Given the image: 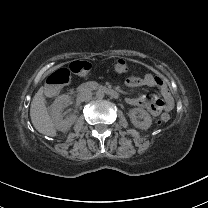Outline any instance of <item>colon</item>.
Wrapping results in <instances>:
<instances>
[{
  "label": "colon",
  "instance_id": "1",
  "mask_svg": "<svg viewBox=\"0 0 208 208\" xmlns=\"http://www.w3.org/2000/svg\"><path fill=\"white\" fill-rule=\"evenodd\" d=\"M111 71L115 74H125L128 71L127 62L123 58H118L114 60L111 64ZM170 116L167 113L160 114L156 119L155 122L158 125H165L169 122Z\"/></svg>",
  "mask_w": 208,
  "mask_h": 208
}]
</instances>
